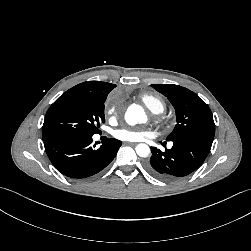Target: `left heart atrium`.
Instances as JSON below:
<instances>
[{"label": "left heart atrium", "mask_w": 251, "mask_h": 251, "mask_svg": "<svg viewBox=\"0 0 251 251\" xmlns=\"http://www.w3.org/2000/svg\"><path fill=\"white\" fill-rule=\"evenodd\" d=\"M151 134L148 130L121 128L115 132L116 138L122 141H141Z\"/></svg>", "instance_id": "1"}]
</instances>
